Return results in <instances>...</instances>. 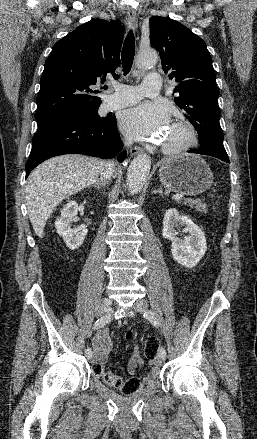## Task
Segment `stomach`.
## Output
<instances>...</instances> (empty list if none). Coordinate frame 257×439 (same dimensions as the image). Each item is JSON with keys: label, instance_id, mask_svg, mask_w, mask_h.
Segmentation results:
<instances>
[{"label": "stomach", "instance_id": "0dacf381", "mask_svg": "<svg viewBox=\"0 0 257 439\" xmlns=\"http://www.w3.org/2000/svg\"><path fill=\"white\" fill-rule=\"evenodd\" d=\"M161 183L168 189L198 195L210 189L213 173L198 155L183 154L165 159L159 170Z\"/></svg>", "mask_w": 257, "mask_h": 439}]
</instances>
